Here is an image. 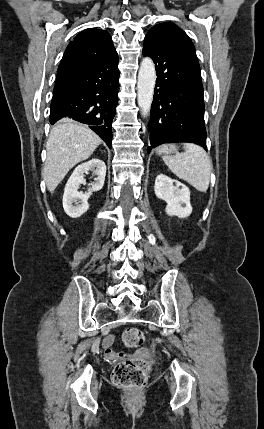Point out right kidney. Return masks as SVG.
<instances>
[{"mask_svg":"<svg viewBox=\"0 0 264 429\" xmlns=\"http://www.w3.org/2000/svg\"><path fill=\"white\" fill-rule=\"evenodd\" d=\"M88 171H94L97 178L87 192H79V186L85 183L84 173L87 174ZM105 176L106 165L98 158H93L92 160L80 164L75 168L66 183L63 194V208L68 216L71 218H78L89 209L88 199L93 192L102 189Z\"/></svg>","mask_w":264,"mask_h":429,"instance_id":"right-kidney-1","label":"right kidney"}]
</instances>
